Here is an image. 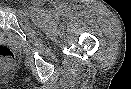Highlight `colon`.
<instances>
[{
  "instance_id": "obj_1",
  "label": "colon",
  "mask_w": 131,
  "mask_h": 89,
  "mask_svg": "<svg viewBox=\"0 0 131 89\" xmlns=\"http://www.w3.org/2000/svg\"><path fill=\"white\" fill-rule=\"evenodd\" d=\"M13 58V53L9 48L0 46V61L10 62Z\"/></svg>"
}]
</instances>
